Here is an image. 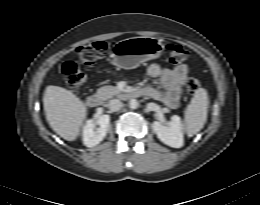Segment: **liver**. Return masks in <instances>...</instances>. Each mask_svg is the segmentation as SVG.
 Instances as JSON below:
<instances>
[{
    "label": "liver",
    "instance_id": "6515ba94",
    "mask_svg": "<svg viewBox=\"0 0 260 205\" xmlns=\"http://www.w3.org/2000/svg\"><path fill=\"white\" fill-rule=\"evenodd\" d=\"M43 105L50 127L67 141H74L87 116L85 104L71 91L49 85L43 96Z\"/></svg>",
    "mask_w": 260,
    "mask_h": 205
}]
</instances>
